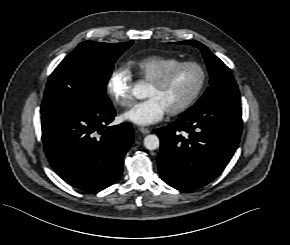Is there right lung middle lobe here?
<instances>
[{
  "label": "right lung middle lobe",
  "mask_w": 290,
  "mask_h": 245,
  "mask_svg": "<svg viewBox=\"0 0 290 245\" xmlns=\"http://www.w3.org/2000/svg\"><path fill=\"white\" fill-rule=\"evenodd\" d=\"M132 44L133 41H84L78 44L50 75L41 105V115L111 106L106 85L114 63Z\"/></svg>",
  "instance_id": "dd1d6c3e"
}]
</instances>
